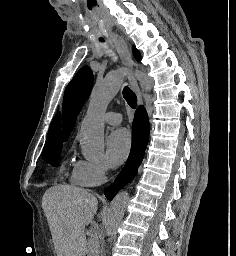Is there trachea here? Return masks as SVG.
I'll return each instance as SVG.
<instances>
[{
  "label": "trachea",
  "mask_w": 236,
  "mask_h": 256,
  "mask_svg": "<svg viewBox=\"0 0 236 256\" xmlns=\"http://www.w3.org/2000/svg\"><path fill=\"white\" fill-rule=\"evenodd\" d=\"M123 97L126 100V102L128 103V105L131 108H136L137 106V96L135 95V93L130 89V88H124L123 89Z\"/></svg>",
  "instance_id": "trachea-1"
}]
</instances>
